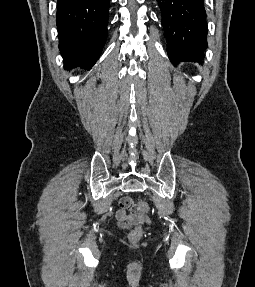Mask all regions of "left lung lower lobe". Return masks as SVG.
Returning a JSON list of instances; mask_svg holds the SVG:
<instances>
[{"mask_svg":"<svg viewBox=\"0 0 255 287\" xmlns=\"http://www.w3.org/2000/svg\"><path fill=\"white\" fill-rule=\"evenodd\" d=\"M167 39L168 56L175 65L204 59L207 22L204 0H157Z\"/></svg>","mask_w":255,"mask_h":287,"instance_id":"obj_1","label":"left lung lower lobe"}]
</instances>
